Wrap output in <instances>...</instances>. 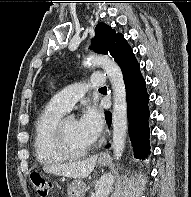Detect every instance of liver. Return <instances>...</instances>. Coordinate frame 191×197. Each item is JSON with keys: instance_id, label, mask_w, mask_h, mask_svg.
Returning a JSON list of instances; mask_svg holds the SVG:
<instances>
[{"instance_id": "obj_1", "label": "liver", "mask_w": 191, "mask_h": 197, "mask_svg": "<svg viewBox=\"0 0 191 197\" xmlns=\"http://www.w3.org/2000/svg\"><path fill=\"white\" fill-rule=\"evenodd\" d=\"M96 162L97 155H94L82 161L47 165L43 167V170L47 173H52L58 176L81 179L86 178L91 174Z\"/></svg>"}]
</instances>
